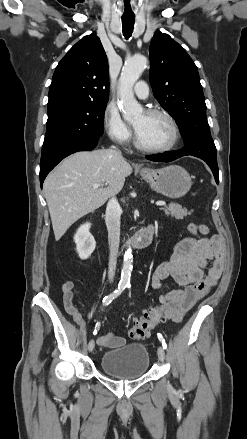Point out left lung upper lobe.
<instances>
[{
	"label": "left lung upper lobe",
	"mask_w": 247,
	"mask_h": 439,
	"mask_svg": "<svg viewBox=\"0 0 247 439\" xmlns=\"http://www.w3.org/2000/svg\"><path fill=\"white\" fill-rule=\"evenodd\" d=\"M150 82L155 98L175 119L186 155L218 170L216 147L206 119V104L197 67L168 34L155 32L150 44Z\"/></svg>",
	"instance_id": "obj_1"
}]
</instances>
